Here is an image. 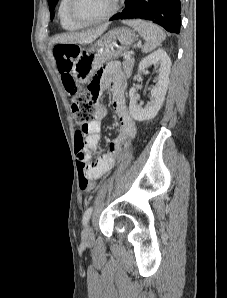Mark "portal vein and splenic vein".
Instances as JSON below:
<instances>
[{"label":"portal vein and splenic vein","instance_id":"portal-vein-and-splenic-vein-1","mask_svg":"<svg viewBox=\"0 0 227 298\" xmlns=\"http://www.w3.org/2000/svg\"><path fill=\"white\" fill-rule=\"evenodd\" d=\"M126 59H130L131 58V55L130 54H125L124 56Z\"/></svg>","mask_w":227,"mask_h":298}]
</instances>
